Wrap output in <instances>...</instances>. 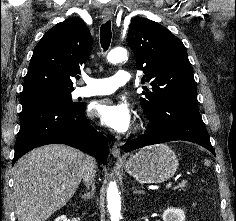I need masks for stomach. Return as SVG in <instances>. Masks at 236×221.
<instances>
[{"label": "stomach", "mask_w": 236, "mask_h": 221, "mask_svg": "<svg viewBox=\"0 0 236 221\" xmlns=\"http://www.w3.org/2000/svg\"><path fill=\"white\" fill-rule=\"evenodd\" d=\"M126 172L140 183L157 184L170 179L178 168V158L165 144L140 149L124 164Z\"/></svg>", "instance_id": "1"}]
</instances>
